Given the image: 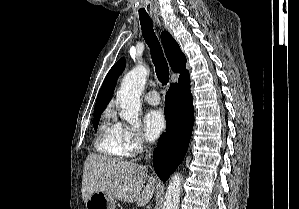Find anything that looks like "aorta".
Here are the masks:
<instances>
[{"instance_id": "762f6f07", "label": "aorta", "mask_w": 299, "mask_h": 209, "mask_svg": "<svg viewBox=\"0 0 299 209\" xmlns=\"http://www.w3.org/2000/svg\"><path fill=\"white\" fill-rule=\"evenodd\" d=\"M147 76L148 70L144 66H136L125 75L117 93V100L121 106L120 117L134 127H139L141 124L139 120L140 96L145 87ZM181 190V176L175 173L167 187L162 209H178Z\"/></svg>"}]
</instances>
